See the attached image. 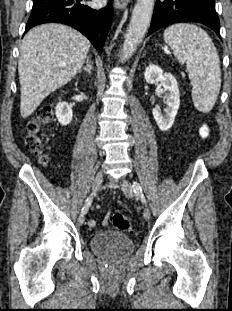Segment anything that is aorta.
Instances as JSON below:
<instances>
[{
    "instance_id": "762f6f07",
    "label": "aorta",
    "mask_w": 232,
    "mask_h": 311,
    "mask_svg": "<svg viewBox=\"0 0 232 311\" xmlns=\"http://www.w3.org/2000/svg\"><path fill=\"white\" fill-rule=\"evenodd\" d=\"M155 0H137L123 42V60L129 59L141 43L153 14Z\"/></svg>"
}]
</instances>
